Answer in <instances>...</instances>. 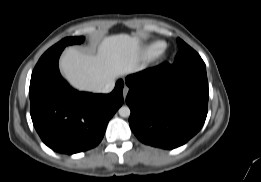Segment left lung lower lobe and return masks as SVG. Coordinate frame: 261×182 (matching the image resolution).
Instances as JSON below:
<instances>
[{"label": "left lung lower lobe", "mask_w": 261, "mask_h": 182, "mask_svg": "<svg viewBox=\"0 0 261 182\" xmlns=\"http://www.w3.org/2000/svg\"><path fill=\"white\" fill-rule=\"evenodd\" d=\"M126 84L129 124L141 142L174 149L202 128L209 98L205 65L165 62L127 76Z\"/></svg>", "instance_id": "0a47b994"}]
</instances>
